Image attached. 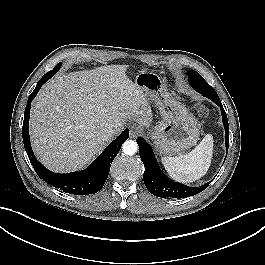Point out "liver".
Wrapping results in <instances>:
<instances>
[{
    "label": "liver",
    "instance_id": "liver-1",
    "mask_svg": "<svg viewBox=\"0 0 265 265\" xmlns=\"http://www.w3.org/2000/svg\"><path fill=\"white\" fill-rule=\"evenodd\" d=\"M127 65L60 75L38 93L30 114L32 148L58 173L89 165L128 121L148 126V100L126 76ZM109 126L115 134L106 132Z\"/></svg>",
    "mask_w": 265,
    "mask_h": 265
}]
</instances>
